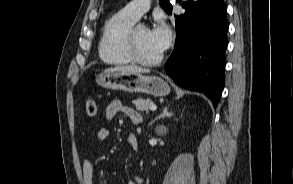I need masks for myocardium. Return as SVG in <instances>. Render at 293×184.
I'll list each match as a JSON object with an SVG mask.
<instances>
[{
	"mask_svg": "<svg viewBox=\"0 0 293 184\" xmlns=\"http://www.w3.org/2000/svg\"><path fill=\"white\" fill-rule=\"evenodd\" d=\"M143 27V28H147L145 25L143 24H136L133 25L130 30L128 31L127 34V38H126V49H127V53L129 55V57L131 58V60L135 63L144 65V66H153L158 64L159 62H161V60L163 59V54L160 53V55H158L155 58L152 59H145L143 57H141L137 51V47H136V41H135V35H136V31L138 28Z\"/></svg>",
	"mask_w": 293,
	"mask_h": 184,
	"instance_id": "obj_1",
	"label": "myocardium"
}]
</instances>
